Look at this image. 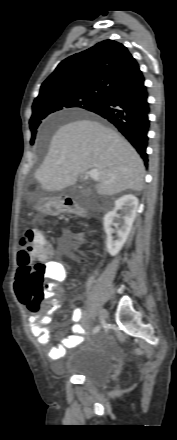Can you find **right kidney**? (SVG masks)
<instances>
[{"mask_svg":"<svg viewBox=\"0 0 177 440\" xmlns=\"http://www.w3.org/2000/svg\"><path fill=\"white\" fill-rule=\"evenodd\" d=\"M137 209V197L127 194L118 198L114 203L113 209L104 216V231L107 235L106 248L111 256L117 255L126 242L135 220ZM118 211H121L124 216L122 217V226L117 230L118 239L114 241L111 225L116 218H120L117 214Z\"/></svg>","mask_w":177,"mask_h":440,"instance_id":"1","label":"right kidney"}]
</instances>
